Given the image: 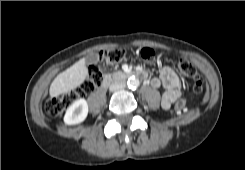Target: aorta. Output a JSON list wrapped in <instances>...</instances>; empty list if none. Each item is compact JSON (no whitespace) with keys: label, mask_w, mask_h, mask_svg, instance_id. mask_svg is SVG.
Instances as JSON below:
<instances>
[{"label":"aorta","mask_w":245,"mask_h":170,"mask_svg":"<svg viewBox=\"0 0 245 170\" xmlns=\"http://www.w3.org/2000/svg\"><path fill=\"white\" fill-rule=\"evenodd\" d=\"M140 82L139 79L136 77H131L128 79L127 85L131 89H135L139 86Z\"/></svg>","instance_id":"aorta-1"}]
</instances>
